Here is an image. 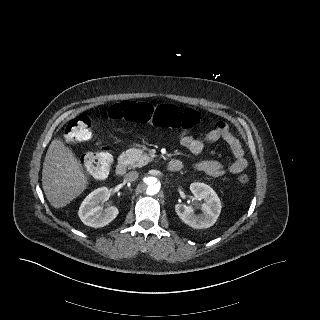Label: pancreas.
Segmentation results:
<instances>
[{
    "mask_svg": "<svg viewBox=\"0 0 320 320\" xmlns=\"http://www.w3.org/2000/svg\"><path fill=\"white\" fill-rule=\"evenodd\" d=\"M150 161V158L142 150L137 148H130L123 152L118 162L127 166L129 169L142 167Z\"/></svg>",
    "mask_w": 320,
    "mask_h": 320,
    "instance_id": "pancreas-1",
    "label": "pancreas"
}]
</instances>
